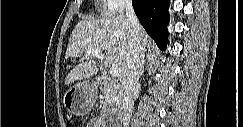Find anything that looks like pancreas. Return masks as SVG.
Returning a JSON list of instances; mask_svg holds the SVG:
<instances>
[{"mask_svg": "<svg viewBox=\"0 0 243 127\" xmlns=\"http://www.w3.org/2000/svg\"><path fill=\"white\" fill-rule=\"evenodd\" d=\"M102 93L105 100V106L115 107L119 103L120 94L113 83H109L102 88Z\"/></svg>", "mask_w": 243, "mask_h": 127, "instance_id": "1", "label": "pancreas"}]
</instances>
